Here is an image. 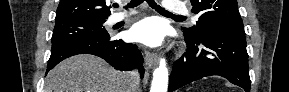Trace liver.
I'll use <instances>...</instances> for the list:
<instances>
[{"label":"liver","mask_w":289,"mask_h":92,"mask_svg":"<svg viewBox=\"0 0 289 92\" xmlns=\"http://www.w3.org/2000/svg\"><path fill=\"white\" fill-rule=\"evenodd\" d=\"M128 90L126 73L86 54L59 63L48 73L44 88V92H132Z\"/></svg>","instance_id":"liver-1"}]
</instances>
